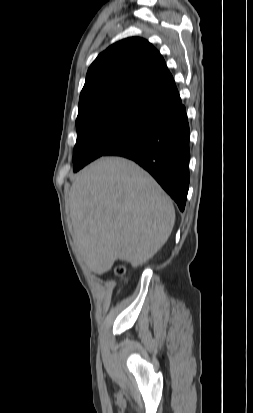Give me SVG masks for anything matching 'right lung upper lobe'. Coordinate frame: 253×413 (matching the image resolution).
I'll return each mask as SVG.
<instances>
[{"label": "right lung upper lobe", "instance_id": "1", "mask_svg": "<svg viewBox=\"0 0 253 413\" xmlns=\"http://www.w3.org/2000/svg\"><path fill=\"white\" fill-rule=\"evenodd\" d=\"M180 104L163 57L147 40L132 37L111 45L91 64L77 118L113 107L155 115Z\"/></svg>", "mask_w": 253, "mask_h": 413}]
</instances>
